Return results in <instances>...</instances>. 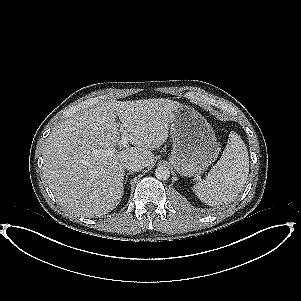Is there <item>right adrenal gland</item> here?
Listing matches in <instances>:
<instances>
[{
  "label": "right adrenal gland",
  "mask_w": 301,
  "mask_h": 301,
  "mask_svg": "<svg viewBox=\"0 0 301 301\" xmlns=\"http://www.w3.org/2000/svg\"><path fill=\"white\" fill-rule=\"evenodd\" d=\"M132 174H133V172H129V173L126 174L125 180H124V184H127L128 177H129L130 175H132Z\"/></svg>",
  "instance_id": "right-adrenal-gland-1"
}]
</instances>
